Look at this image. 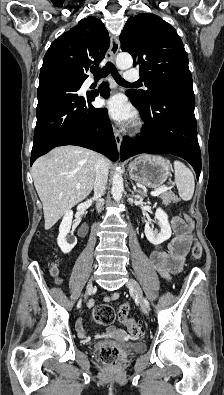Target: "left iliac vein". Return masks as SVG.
I'll return each mask as SVG.
<instances>
[{"instance_id": "1", "label": "left iliac vein", "mask_w": 224, "mask_h": 395, "mask_svg": "<svg viewBox=\"0 0 224 395\" xmlns=\"http://www.w3.org/2000/svg\"><path fill=\"white\" fill-rule=\"evenodd\" d=\"M127 287L134 292V294L136 295L139 305L142 309V311L145 314H148V306L145 303V299L143 296V292L142 289L140 287V285L138 284V282L132 278H129L128 282H127Z\"/></svg>"}]
</instances>
